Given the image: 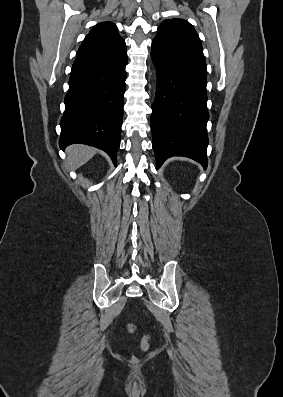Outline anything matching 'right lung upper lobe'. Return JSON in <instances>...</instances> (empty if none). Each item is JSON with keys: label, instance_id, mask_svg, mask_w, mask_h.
Masks as SVG:
<instances>
[{"label": "right lung upper lobe", "instance_id": "right-lung-upper-lobe-1", "mask_svg": "<svg viewBox=\"0 0 283 397\" xmlns=\"http://www.w3.org/2000/svg\"><path fill=\"white\" fill-rule=\"evenodd\" d=\"M126 58L125 41L119 36L116 25L102 22L85 37L71 73L111 65Z\"/></svg>", "mask_w": 283, "mask_h": 397}]
</instances>
